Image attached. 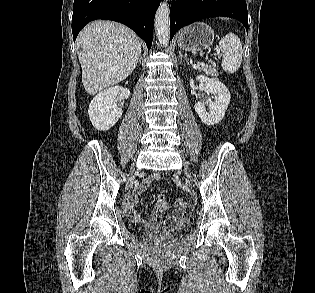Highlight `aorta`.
I'll list each match as a JSON object with an SVG mask.
<instances>
[{
  "label": "aorta",
  "mask_w": 315,
  "mask_h": 293,
  "mask_svg": "<svg viewBox=\"0 0 315 293\" xmlns=\"http://www.w3.org/2000/svg\"><path fill=\"white\" fill-rule=\"evenodd\" d=\"M169 5L166 2L160 4L155 16L156 36L162 46H167L169 42Z\"/></svg>",
  "instance_id": "1"
}]
</instances>
